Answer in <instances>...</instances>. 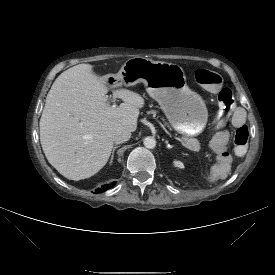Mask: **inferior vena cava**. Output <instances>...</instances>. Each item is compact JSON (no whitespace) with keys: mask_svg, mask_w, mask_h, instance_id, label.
I'll list each match as a JSON object with an SVG mask.
<instances>
[{"mask_svg":"<svg viewBox=\"0 0 275 275\" xmlns=\"http://www.w3.org/2000/svg\"><path fill=\"white\" fill-rule=\"evenodd\" d=\"M131 137V131L127 128L117 129L112 136V139L115 143L120 144L128 141Z\"/></svg>","mask_w":275,"mask_h":275,"instance_id":"obj_1","label":"inferior vena cava"}]
</instances>
